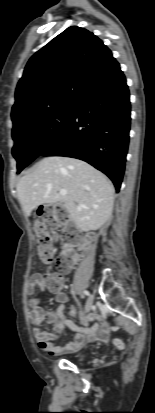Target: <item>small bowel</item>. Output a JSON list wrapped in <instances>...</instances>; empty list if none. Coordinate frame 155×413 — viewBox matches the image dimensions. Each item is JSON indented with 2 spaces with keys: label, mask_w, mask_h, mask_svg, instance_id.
I'll list each match as a JSON object with an SVG mask.
<instances>
[{
  "label": "small bowel",
  "mask_w": 155,
  "mask_h": 413,
  "mask_svg": "<svg viewBox=\"0 0 155 413\" xmlns=\"http://www.w3.org/2000/svg\"><path fill=\"white\" fill-rule=\"evenodd\" d=\"M72 269V265L66 272ZM46 289L43 277L41 274H34L27 285V297L29 300V318L33 326V334L38 343V346L52 355L68 354L78 351L86 343L105 340L109 335V324L106 320L100 318L96 314H89L85 317L81 325H76L64 312V307L60 306L56 310L50 321L55 323L54 332H46L41 330V325L46 319V312L41 306V298H35L34 291ZM57 299L60 302H66L67 296L63 292L57 293ZM70 316L75 315V309L71 308ZM68 327L75 332L74 340L68 343H53L57 337V333L62 327Z\"/></svg>",
  "instance_id": "1"
}]
</instances>
